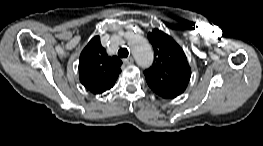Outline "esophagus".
<instances>
[{
    "mask_svg": "<svg viewBox=\"0 0 263 146\" xmlns=\"http://www.w3.org/2000/svg\"><path fill=\"white\" fill-rule=\"evenodd\" d=\"M123 62L127 65L132 64L134 62V59L132 57H128L126 59H123Z\"/></svg>",
    "mask_w": 263,
    "mask_h": 146,
    "instance_id": "esophagus-1",
    "label": "esophagus"
}]
</instances>
